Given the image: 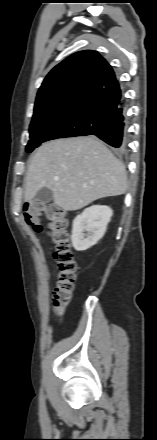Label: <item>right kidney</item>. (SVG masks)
<instances>
[{
	"label": "right kidney",
	"mask_w": 157,
	"mask_h": 440,
	"mask_svg": "<svg viewBox=\"0 0 157 440\" xmlns=\"http://www.w3.org/2000/svg\"><path fill=\"white\" fill-rule=\"evenodd\" d=\"M112 215L113 210L105 205H93L78 215L71 237L74 249L85 251L95 245L104 236Z\"/></svg>",
	"instance_id": "obj_1"
}]
</instances>
